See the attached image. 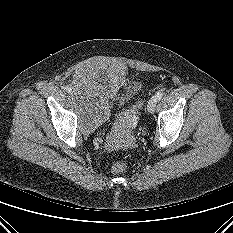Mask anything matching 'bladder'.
<instances>
[{"instance_id": "1", "label": "bladder", "mask_w": 233, "mask_h": 233, "mask_svg": "<svg viewBox=\"0 0 233 233\" xmlns=\"http://www.w3.org/2000/svg\"><path fill=\"white\" fill-rule=\"evenodd\" d=\"M71 86L82 127L87 131L98 128L109 119L113 99L125 102L140 90V84L130 81L123 69L99 62L82 65Z\"/></svg>"}]
</instances>
